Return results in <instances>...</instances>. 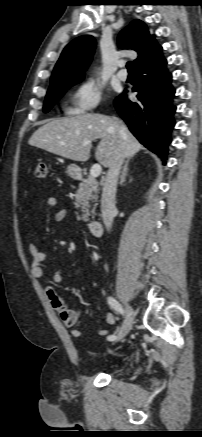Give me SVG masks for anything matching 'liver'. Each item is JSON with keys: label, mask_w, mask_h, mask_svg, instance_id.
Instances as JSON below:
<instances>
[{"label": "liver", "mask_w": 202, "mask_h": 437, "mask_svg": "<svg viewBox=\"0 0 202 437\" xmlns=\"http://www.w3.org/2000/svg\"><path fill=\"white\" fill-rule=\"evenodd\" d=\"M96 139L101 141L95 158L106 168L119 155L129 159L142 149L121 120L102 114L53 119L38 128L28 143L73 161L86 162L90 158L92 141Z\"/></svg>", "instance_id": "1"}]
</instances>
